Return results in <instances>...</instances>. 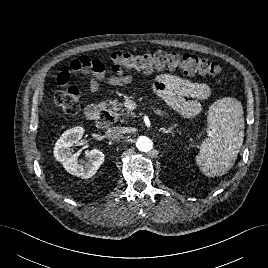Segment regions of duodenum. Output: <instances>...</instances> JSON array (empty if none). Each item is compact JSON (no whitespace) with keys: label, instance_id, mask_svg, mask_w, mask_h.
I'll return each mask as SVG.
<instances>
[{"label":"duodenum","instance_id":"410a0bca","mask_svg":"<svg viewBox=\"0 0 268 268\" xmlns=\"http://www.w3.org/2000/svg\"><path fill=\"white\" fill-rule=\"evenodd\" d=\"M86 115L90 120L95 121L97 126L102 129L110 127L113 122V115L99 105L89 106L86 110Z\"/></svg>","mask_w":268,"mask_h":268}]
</instances>
